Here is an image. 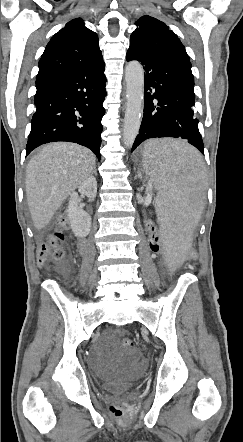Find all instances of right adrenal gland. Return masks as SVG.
Wrapping results in <instances>:
<instances>
[{"mask_svg":"<svg viewBox=\"0 0 243 442\" xmlns=\"http://www.w3.org/2000/svg\"><path fill=\"white\" fill-rule=\"evenodd\" d=\"M93 173L96 175V169H94Z\"/></svg>","mask_w":243,"mask_h":442,"instance_id":"2a0ac1e0","label":"right adrenal gland"}]
</instances>
